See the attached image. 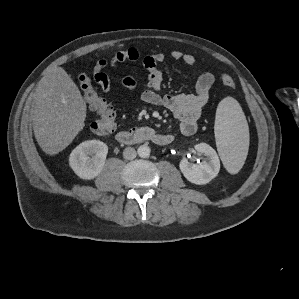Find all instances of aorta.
<instances>
[{"mask_svg": "<svg viewBox=\"0 0 299 299\" xmlns=\"http://www.w3.org/2000/svg\"><path fill=\"white\" fill-rule=\"evenodd\" d=\"M137 153H138L139 157L147 158L150 155V148L148 147V145H145V144L141 145L138 147Z\"/></svg>", "mask_w": 299, "mask_h": 299, "instance_id": "obj_1", "label": "aorta"}]
</instances>
